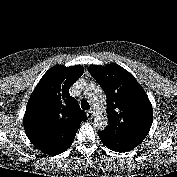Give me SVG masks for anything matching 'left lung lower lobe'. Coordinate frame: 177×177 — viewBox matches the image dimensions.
<instances>
[{
  "mask_svg": "<svg viewBox=\"0 0 177 177\" xmlns=\"http://www.w3.org/2000/svg\"><path fill=\"white\" fill-rule=\"evenodd\" d=\"M102 143L109 149H112L114 151H118V152H125V151H129L132 150L134 148H130V149H125V145L124 144H120V143H115V142H104L102 141Z\"/></svg>",
  "mask_w": 177,
  "mask_h": 177,
  "instance_id": "1",
  "label": "left lung lower lobe"
}]
</instances>
